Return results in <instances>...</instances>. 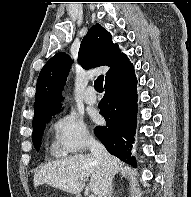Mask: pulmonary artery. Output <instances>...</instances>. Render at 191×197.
<instances>
[{
	"label": "pulmonary artery",
	"instance_id": "1",
	"mask_svg": "<svg viewBox=\"0 0 191 197\" xmlns=\"http://www.w3.org/2000/svg\"><path fill=\"white\" fill-rule=\"evenodd\" d=\"M84 100L89 105H94L97 102V96L94 93L93 87L90 86L86 89Z\"/></svg>",
	"mask_w": 191,
	"mask_h": 197
}]
</instances>
